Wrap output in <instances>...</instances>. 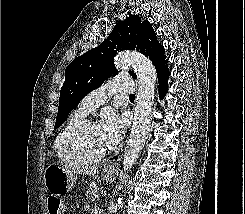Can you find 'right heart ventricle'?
Wrapping results in <instances>:
<instances>
[{"label":"right heart ventricle","instance_id":"e07e8e85","mask_svg":"<svg viewBox=\"0 0 245 214\" xmlns=\"http://www.w3.org/2000/svg\"><path fill=\"white\" fill-rule=\"evenodd\" d=\"M87 113L80 107L73 111L66 119L65 123L57 133L53 141V150L58 159L64 164H75L77 161L73 159L65 150V139L71 129L79 122L85 119Z\"/></svg>","mask_w":245,"mask_h":214}]
</instances>
